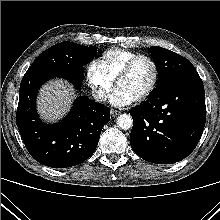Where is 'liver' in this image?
Masks as SVG:
<instances>
[{
	"label": "liver",
	"instance_id": "liver-1",
	"mask_svg": "<svg viewBox=\"0 0 220 220\" xmlns=\"http://www.w3.org/2000/svg\"><path fill=\"white\" fill-rule=\"evenodd\" d=\"M73 87L63 80L46 83L40 90L37 106L41 117L49 122L61 118L70 108Z\"/></svg>",
	"mask_w": 220,
	"mask_h": 220
}]
</instances>
